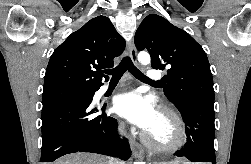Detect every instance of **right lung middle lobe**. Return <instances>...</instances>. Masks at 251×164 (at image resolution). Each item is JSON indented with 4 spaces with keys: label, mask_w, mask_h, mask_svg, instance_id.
<instances>
[{
    "label": "right lung middle lobe",
    "mask_w": 251,
    "mask_h": 164,
    "mask_svg": "<svg viewBox=\"0 0 251 164\" xmlns=\"http://www.w3.org/2000/svg\"><path fill=\"white\" fill-rule=\"evenodd\" d=\"M96 90L80 88H57L43 92L42 104L58 100L83 101L93 99Z\"/></svg>",
    "instance_id": "dd1d6c3e"
}]
</instances>
